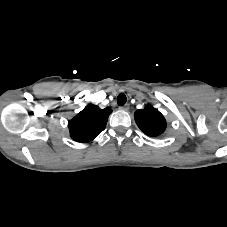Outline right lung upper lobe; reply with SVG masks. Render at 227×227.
Returning <instances> with one entry per match:
<instances>
[{
    "mask_svg": "<svg viewBox=\"0 0 227 227\" xmlns=\"http://www.w3.org/2000/svg\"><path fill=\"white\" fill-rule=\"evenodd\" d=\"M112 110L109 107L100 109L89 104L68 123L70 136L77 142H89L102 132Z\"/></svg>",
    "mask_w": 227,
    "mask_h": 227,
    "instance_id": "right-lung-upper-lobe-1",
    "label": "right lung upper lobe"
}]
</instances>
